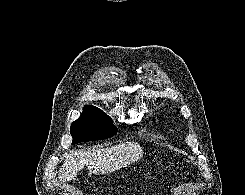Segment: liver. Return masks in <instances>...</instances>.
<instances>
[{
    "mask_svg": "<svg viewBox=\"0 0 245 195\" xmlns=\"http://www.w3.org/2000/svg\"><path fill=\"white\" fill-rule=\"evenodd\" d=\"M142 156V147L137 142L75 152L66 157L61 166L59 180L70 181L85 167L94 174L114 172L138 161Z\"/></svg>",
    "mask_w": 245,
    "mask_h": 195,
    "instance_id": "6515ba94",
    "label": "liver"
}]
</instances>
